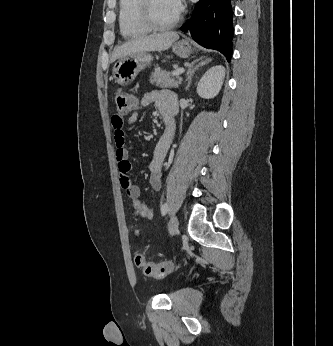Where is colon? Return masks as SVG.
<instances>
[{
    "instance_id": "5ec220e1",
    "label": "colon",
    "mask_w": 333,
    "mask_h": 346,
    "mask_svg": "<svg viewBox=\"0 0 333 346\" xmlns=\"http://www.w3.org/2000/svg\"><path fill=\"white\" fill-rule=\"evenodd\" d=\"M116 114L124 120V116L129 114L136 106V100L132 94L125 91L115 93ZM135 262L141 268L144 275L153 278H163L169 274L173 266L170 262L164 261L159 263L148 262L141 254H137Z\"/></svg>"
}]
</instances>
